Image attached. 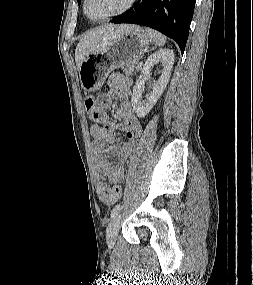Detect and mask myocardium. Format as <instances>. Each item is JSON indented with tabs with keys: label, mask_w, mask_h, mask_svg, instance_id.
Here are the masks:
<instances>
[{
	"label": "myocardium",
	"mask_w": 253,
	"mask_h": 285,
	"mask_svg": "<svg viewBox=\"0 0 253 285\" xmlns=\"http://www.w3.org/2000/svg\"><path fill=\"white\" fill-rule=\"evenodd\" d=\"M87 1L88 0H83V13L86 16V18L88 20L92 21V22H102V21H105V20H108V19H111V18H114L116 16H119V15H122V14L126 13L127 11H129L135 5L137 0H128L127 4L122 9H120V10L114 12V13H111V14L105 15L103 17H100V18H91L87 14V10H86Z\"/></svg>",
	"instance_id": "myocardium-1"
}]
</instances>
